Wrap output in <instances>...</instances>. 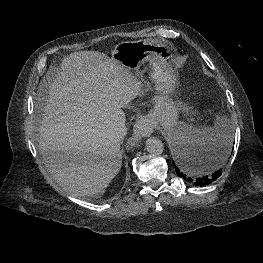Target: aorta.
I'll list each match as a JSON object with an SVG mask.
<instances>
[{"label": "aorta", "mask_w": 263, "mask_h": 263, "mask_svg": "<svg viewBox=\"0 0 263 263\" xmlns=\"http://www.w3.org/2000/svg\"><path fill=\"white\" fill-rule=\"evenodd\" d=\"M146 150L152 155H160L164 151V145L160 139L151 137L146 140Z\"/></svg>", "instance_id": "obj_1"}]
</instances>
